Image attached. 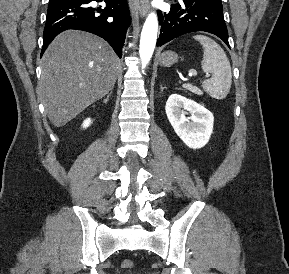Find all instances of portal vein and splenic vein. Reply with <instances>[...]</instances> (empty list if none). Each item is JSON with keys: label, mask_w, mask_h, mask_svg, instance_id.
I'll return each mask as SVG.
<instances>
[{"label": "portal vein and splenic vein", "mask_w": 289, "mask_h": 274, "mask_svg": "<svg viewBox=\"0 0 289 274\" xmlns=\"http://www.w3.org/2000/svg\"><path fill=\"white\" fill-rule=\"evenodd\" d=\"M194 76L196 75V73L193 74ZM206 77H209V75L207 74Z\"/></svg>", "instance_id": "18ae733b"}]
</instances>
